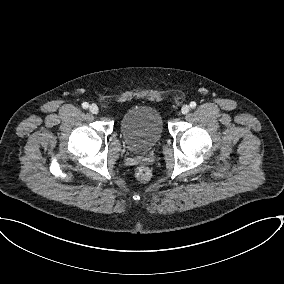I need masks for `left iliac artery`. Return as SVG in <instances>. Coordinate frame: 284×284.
Returning <instances> with one entry per match:
<instances>
[{"instance_id":"44dca946","label":"left iliac artery","mask_w":284,"mask_h":284,"mask_svg":"<svg viewBox=\"0 0 284 284\" xmlns=\"http://www.w3.org/2000/svg\"><path fill=\"white\" fill-rule=\"evenodd\" d=\"M196 105H197V104H196V102H194V101H192V102L190 103V107H191V108H195Z\"/></svg>"}]
</instances>
